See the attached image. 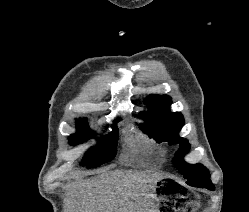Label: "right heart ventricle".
<instances>
[{
  "label": "right heart ventricle",
  "mask_w": 249,
  "mask_h": 212,
  "mask_svg": "<svg viewBox=\"0 0 249 212\" xmlns=\"http://www.w3.org/2000/svg\"><path fill=\"white\" fill-rule=\"evenodd\" d=\"M131 143H132V145H131L132 152H133L134 154H139L140 149L142 148V144H141V143L139 142V140L136 139V138L131 139ZM154 155H155L157 158H161V155H159L158 152H154Z\"/></svg>",
  "instance_id": "right-heart-ventricle-1"
}]
</instances>
